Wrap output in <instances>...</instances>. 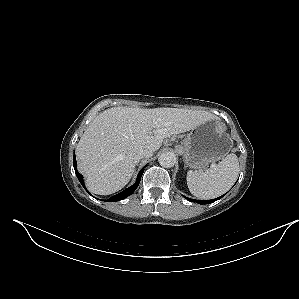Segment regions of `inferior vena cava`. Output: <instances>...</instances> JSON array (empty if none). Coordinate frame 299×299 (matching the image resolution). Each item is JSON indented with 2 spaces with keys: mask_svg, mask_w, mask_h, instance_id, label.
<instances>
[{
  "mask_svg": "<svg viewBox=\"0 0 299 299\" xmlns=\"http://www.w3.org/2000/svg\"><path fill=\"white\" fill-rule=\"evenodd\" d=\"M152 151L151 150H147V149H141L139 150L135 156L134 159L135 161H139L140 159L144 158V157H151L152 156Z\"/></svg>",
  "mask_w": 299,
  "mask_h": 299,
  "instance_id": "obj_1",
  "label": "inferior vena cava"
}]
</instances>
